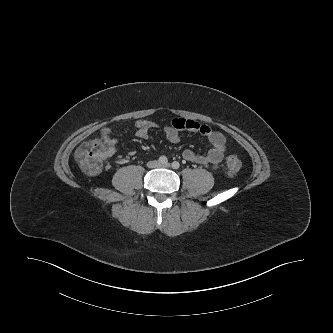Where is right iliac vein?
Segmentation results:
<instances>
[{
  "label": "right iliac vein",
  "instance_id": "right-iliac-vein-1",
  "mask_svg": "<svg viewBox=\"0 0 333 333\" xmlns=\"http://www.w3.org/2000/svg\"><path fill=\"white\" fill-rule=\"evenodd\" d=\"M151 166H152V167H158V166H159V163H158L157 161H153V162L151 163Z\"/></svg>",
  "mask_w": 333,
  "mask_h": 333
}]
</instances>
